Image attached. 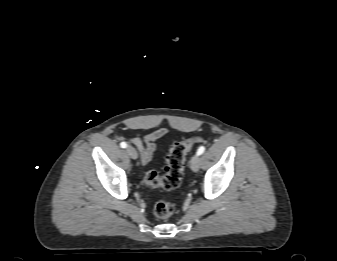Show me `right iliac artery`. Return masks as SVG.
Here are the masks:
<instances>
[{"instance_id":"82829eb1","label":"right iliac artery","mask_w":337,"mask_h":261,"mask_svg":"<svg viewBox=\"0 0 337 261\" xmlns=\"http://www.w3.org/2000/svg\"><path fill=\"white\" fill-rule=\"evenodd\" d=\"M120 146H121V148H126L127 147V143L126 142H121Z\"/></svg>"}]
</instances>
